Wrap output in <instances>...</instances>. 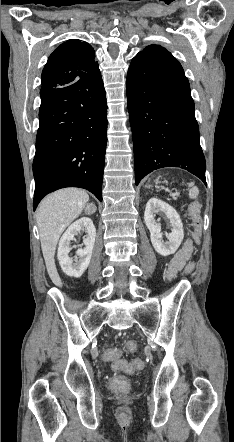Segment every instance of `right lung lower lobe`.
Segmentation results:
<instances>
[{
	"mask_svg": "<svg viewBox=\"0 0 234 442\" xmlns=\"http://www.w3.org/2000/svg\"><path fill=\"white\" fill-rule=\"evenodd\" d=\"M33 208L48 193L80 187L102 201L107 104L99 66L76 82L41 88Z\"/></svg>",
	"mask_w": 234,
	"mask_h": 442,
	"instance_id": "98d812e1",
	"label": "right lung lower lobe"
}]
</instances>
